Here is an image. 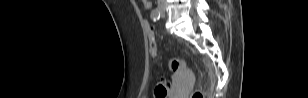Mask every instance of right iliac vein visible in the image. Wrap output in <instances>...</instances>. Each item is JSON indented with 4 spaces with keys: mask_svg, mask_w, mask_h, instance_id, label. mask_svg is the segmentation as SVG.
I'll return each instance as SVG.
<instances>
[{
    "mask_svg": "<svg viewBox=\"0 0 308 98\" xmlns=\"http://www.w3.org/2000/svg\"><path fill=\"white\" fill-rule=\"evenodd\" d=\"M164 7H160V9L162 10Z\"/></svg>",
    "mask_w": 308,
    "mask_h": 98,
    "instance_id": "63e3f726",
    "label": "right iliac vein"
}]
</instances>
